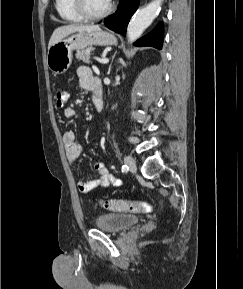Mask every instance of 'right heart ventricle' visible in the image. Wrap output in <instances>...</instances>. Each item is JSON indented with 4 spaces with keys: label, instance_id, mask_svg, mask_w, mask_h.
I'll list each match as a JSON object with an SVG mask.
<instances>
[{
    "label": "right heart ventricle",
    "instance_id": "e07e8e85",
    "mask_svg": "<svg viewBox=\"0 0 243 289\" xmlns=\"http://www.w3.org/2000/svg\"><path fill=\"white\" fill-rule=\"evenodd\" d=\"M55 8L59 16L67 22L77 23L84 19L75 10L73 0H55Z\"/></svg>",
    "mask_w": 243,
    "mask_h": 289
}]
</instances>
